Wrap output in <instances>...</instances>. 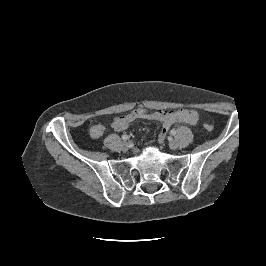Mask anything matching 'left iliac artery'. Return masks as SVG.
Masks as SVG:
<instances>
[{"label": "left iliac artery", "mask_w": 266, "mask_h": 266, "mask_svg": "<svg viewBox=\"0 0 266 266\" xmlns=\"http://www.w3.org/2000/svg\"><path fill=\"white\" fill-rule=\"evenodd\" d=\"M170 133H171L172 135H175V134H176V131H175L174 129H172V130L170 131Z\"/></svg>", "instance_id": "1"}]
</instances>
